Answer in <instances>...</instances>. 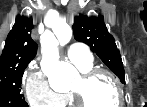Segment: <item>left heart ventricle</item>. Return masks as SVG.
Listing matches in <instances>:
<instances>
[{"instance_id": "b2bd125f", "label": "left heart ventricle", "mask_w": 147, "mask_h": 107, "mask_svg": "<svg viewBox=\"0 0 147 107\" xmlns=\"http://www.w3.org/2000/svg\"><path fill=\"white\" fill-rule=\"evenodd\" d=\"M80 92L89 107H113L117 104V91L111 80L100 75L93 81L83 84L81 77L71 87Z\"/></svg>"}]
</instances>
